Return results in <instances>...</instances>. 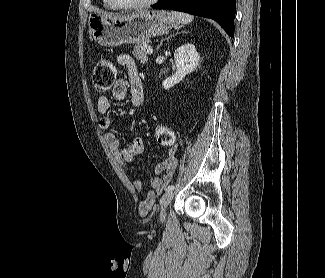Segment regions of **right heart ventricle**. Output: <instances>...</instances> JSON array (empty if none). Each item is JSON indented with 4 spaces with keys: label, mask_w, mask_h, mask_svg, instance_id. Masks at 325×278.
I'll return each mask as SVG.
<instances>
[{
    "label": "right heart ventricle",
    "mask_w": 325,
    "mask_h": 278,
    "mask_svg": "<svg viewBox=\"0 0 325 278\" xmlns=\"http://www.w3.org/2000/svg\"><path fill=\"white\" fill-rule=\"evenodd\" d=\"M103 6L108 10H117L118 8L112 4L110 0H102Z\"/></svg>",
    "instance_id": "1"
}]
</instances>
